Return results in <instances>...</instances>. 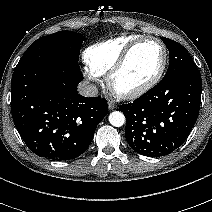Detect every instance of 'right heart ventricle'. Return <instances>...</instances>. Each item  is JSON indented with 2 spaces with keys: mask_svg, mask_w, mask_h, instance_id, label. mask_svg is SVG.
Returning a JSON list of instances; mask_svg holds the SVG:
<instances>
[{
  "mask_svg": "<svg viewBox=\"0 0 212 212\" xmlns=\"http://www.w3.org/2000/svg\"><path fill=\"white\" fill-rule=\"evenodd\" d=\"M139 37L123 35L96 43L84 51V59L92 70L100 75H106L127 46Z\"/></svg>",
  "mask_w": 212,
  "mask_h": 212,
  "instance_id": "1",
  "label": "right heart ventricle"
}]
</instances>
